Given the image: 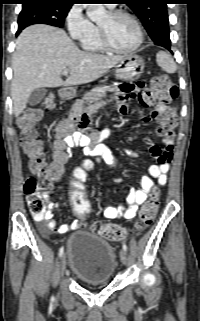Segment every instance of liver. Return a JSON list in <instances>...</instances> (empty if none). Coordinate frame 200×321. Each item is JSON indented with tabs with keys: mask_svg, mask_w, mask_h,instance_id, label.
I'll list each match as a JSON object with an SVG mask.
<instances>
[{
	"mask_svg": "<svg viewBox=\"0 0 200 321\" xmlns=\"http://www.w3.org/2000/svg\"><path fill=\"white\" fill-rule=\"evenodd\" d=\"M124 58L81 51L64 30L48 25H32L16 40L12 58L11 96L14 115L26 108L30 94L38 88L81 85L93 82ZM70 75L63 81L61 74Z\"/></svg>",
	"mask_w": 200,
	"mask_h": 321,
	"instance_id": "1",
	"label": "liver"
}]
</instances>
